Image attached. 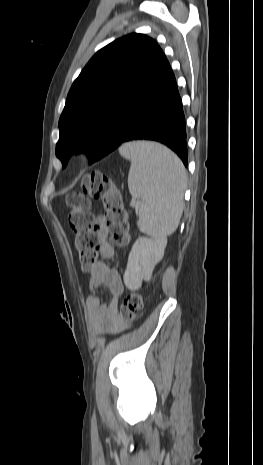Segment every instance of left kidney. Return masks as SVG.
Here are the masks:
<instances>
[{"label":"left kidney","mask_w":263,"mask_h":465,"mask_svg":"<svg viewBox=\"0 0 263 465\" xmlns=\"http://www.w3.org/2000/svg\"><path fill=\"white\" fill-rule=\"evenodd\" d=\"M167 239L139 237L132 246L123 276L125 286L138 290L142 281H149L155 265L163 258Z\"/></svg>","instance_id":"1"}]
</instances>
